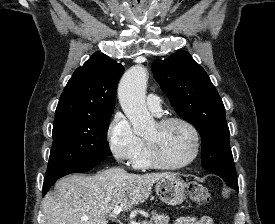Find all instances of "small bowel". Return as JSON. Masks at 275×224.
I'll return each instance as SVG.
<instances>
[{"label": "small bowel", "instance_id": "obj_1", "mask_svg": "<svg viewBox=\"0 0 275 224\" xmlns=\"http://www.w3.org/2000/svg\"><path fill=\"white\" fill-rule=\"evenodd\" d=\"M173 224H213V220L209 216H186L176 219Z\"/></svg>", "mask_w": 275, "mask_h": 224}]
</instances>
